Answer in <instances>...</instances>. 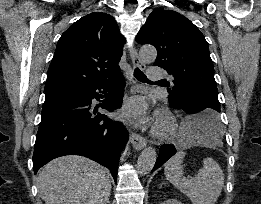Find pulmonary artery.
Segmentation results:
<instances>
[{
	"label": "pulmonary artery",
	"instance_id": "pulmonary-artery-1",
	"mask_svg": "<svg viewBox=\"0 0 261 204\" xmlns=\"http://www.w3.org/2000/svg\"><path fill=\"white\" fill-rule=\"evenodd\" d=\"M166 76V72L160 68L153 66L148 71V77L152 81L160 80Z\"/></svg>",
	"mask_w": 261,
	"mask_h": 204
}]
</instances>
